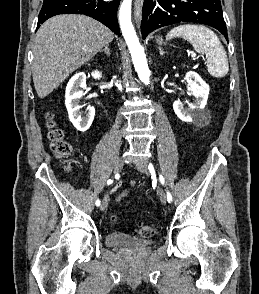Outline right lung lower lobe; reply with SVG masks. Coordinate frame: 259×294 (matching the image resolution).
Listing matches in <instances>:
<instances>
[{
    "label": "right lung lower lobe",
    "instance_id": "obj_1",
    "mask_svg": "<svg viewBox=\"0 0 259 294\" xmlns=\"http://www.w3.org/2000/svg\"><path fill=\"white\" fill-rule=\"evenodd\" d=\"M120 0H44L39 13L37 28L57 14H84L100 21L116 35L121 36L117 22V8Z\"/></svg>",
    "mask_w": 259,
    "mask_h": 294
}]
</instances>
